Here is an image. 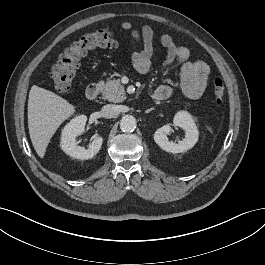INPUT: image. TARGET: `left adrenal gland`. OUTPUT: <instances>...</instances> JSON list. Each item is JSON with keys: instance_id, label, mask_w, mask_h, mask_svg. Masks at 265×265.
Wrapping results in <instances>:
<instances>
[{"instance_id": "a2214340", "label": "left adrenal gland", "mask_w": 265, "mask_h": 265, "mask_svg": "<svg viewBox=\"0 0 265 265\" xmlns=\"http://www.w3.org/2000/svg\"><path fill=\"white\" fill-rule=\"evenodd\" d=\"M153 110H155V108H150V109L146 110L145 113H150Z\"/></svg>"}]
</instances>
